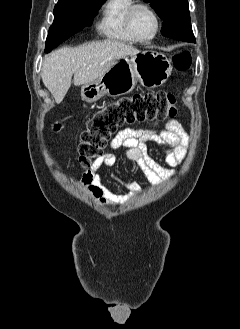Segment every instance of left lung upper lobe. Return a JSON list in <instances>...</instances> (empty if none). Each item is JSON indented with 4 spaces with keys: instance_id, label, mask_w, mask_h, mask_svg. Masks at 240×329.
Instances as JSON below:
<instances>
[{
    "instance_id": "left-lung-upper-lobe-1",
    "label": "left lung upper lobe",
    "mask_w": 240,
    "mask_h": 329,
    "mask_svg": "<svg viewBox=\"0 0 240 329\" xmlns=\"http://www.w3.org/2000/svg\"><path fill=\"white\" fill-rule=\"evenodd\" d=\"M164 20L161 33L165 37L195 42L187 0H144Z\"/></svg>"
}]
</instances>
